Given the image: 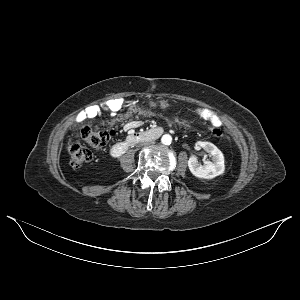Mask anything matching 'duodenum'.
<instances>
[{
  "mask_svg": "<svg viewBox=\"0 0 300 300\" xmlns=\"http://www.w3.org/2000/svg\"><path fill=\"white\" fill-rule=\"evenodd\" d=\"M162 134V130L159 128H153L145 132H132L121 142L114 144L110 148V154L113 157H119L126 152V150L135 145L138 142H142L145 139H155Z\"/></svg>",
  "mask_w": 300,
  "mask_h": 300,
  "instance_id": "obj_1",
  "label": "duodenum"
}]
</instances>
